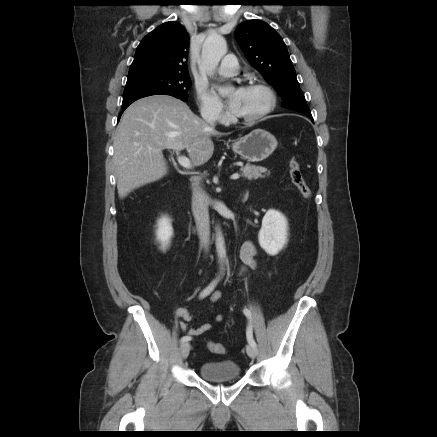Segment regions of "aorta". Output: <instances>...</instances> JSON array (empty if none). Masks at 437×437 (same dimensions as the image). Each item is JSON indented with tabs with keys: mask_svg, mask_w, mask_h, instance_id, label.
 <instances>
[{
	"mask_svg": "<svg viewBox=\"0 0 437 437\" xmlns=\"http://www.w3.org/2000/svg\"><path fill=\"white\" fill-rule=\"evenodd\" d=\"M226 52L227 44L223 36L215 34L207 37L202 47L201 62L199 63L200 71L212 75ZM221 94L224 96L227 95V92H222ZM215 245L219 263L221 269H223L226 248L223 234L219 228H216Z\"/></svg>",
	"mask_w": 437,
	"mask_h": 437,
	"instance_id": "1",
	"label": "aorta"
}]
</instances>
